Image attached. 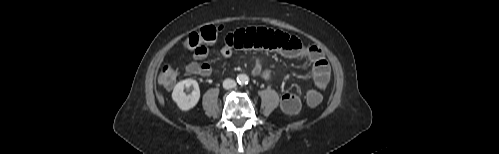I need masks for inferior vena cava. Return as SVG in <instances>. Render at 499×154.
<instances>
[{"mask_svg":"<svg viewBox=\"0 0 499 154\" xmlns=\"http://www.w3.org/2000/svg\"><path fill=\"white\" fill-rule=\"evenodd\" d=\"M236 85H237V84H236V82H235L234 80H232V79H225V80L223 81V87H224L225 89L235 88V87H236Z\"/></svg>","mask_w":499,"mask_h":154,"instance_id":"obj_1","label":"inferior vena cava"}]
</instances>
